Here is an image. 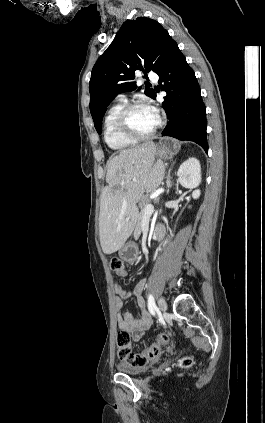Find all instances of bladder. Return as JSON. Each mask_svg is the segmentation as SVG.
<instances>
[{"label":"bladder","mask_w":265,"mask_h":423,"mask_svg":"<svg viewBox=\"0 0 265 423\" xmlns=\"http://www.w3.org/2000/svg\"><path fill=\"white\" fill-rule=\"evenodd\" d=\"M117 369L120 373L126 374V375H131V376H138L141 375L142 373L145 372V370L147 369L146 366L143 367H139V368H130L124 364H119L117 366Z\"/></svg>","instance_id":"31cf9c89"}]
</instances>
